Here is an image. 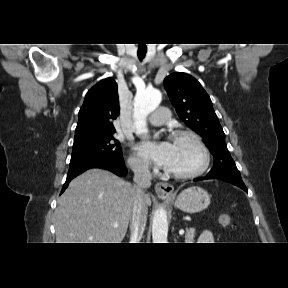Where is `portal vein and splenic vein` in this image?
<instances>
[{
  "label": "portal vein and splenic vein",
  "mask_w": 288,
  "mask_h": 288,
  "mask_svg": "<svg viewBox=\"0 0 288 288\" xmlns=\"http://www.w3.org/2000/svg\"><path fill=\"white\" fill-rule=\"evenodd\" d=\"M117 226H118V224L115 223V224H114V227H117ZM179 234H180V235H183V234H184V230H180V231H179Z\"/></svg>",
  "instance_id": "18ae733b"
}]
</instances>
